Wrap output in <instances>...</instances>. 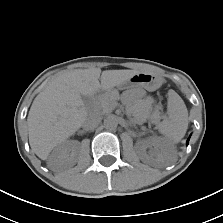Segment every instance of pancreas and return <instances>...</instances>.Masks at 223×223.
Listing matches in <instances>:
<instances>
[{
	"instance_id": "cf45deb5",
	"label": "pancreas",
	"mask_w": 223,
	"mask_h": 223,
	"mask_svg": "<svg viewBox=\"0 0 223 223\" xmlns=\"http://www.w3.org/2000/svg\"><path fill=\"white\" fill-rule=\"evenodd\" d=\"M118 99L119 93L117 90L105 92L94 101L93 109L102 114L110 113L115 109Z\"/></svg>"
}]
</instances>
